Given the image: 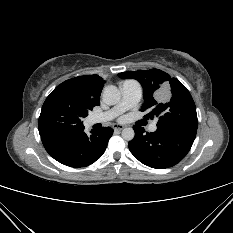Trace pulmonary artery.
I'll list each match as a JSON object with an SVG mask.
<instances>
[{"label":"pulmonary artery","mask_w":233,"mask_h":233,"mask_svg":"<svg viewBox=\"0 0 233 233\" xmlns=\"http://www.w3.org/2000/svg\"><path fill=\"white\" fill-rule=\"evenodd\" d=\"M120 91L122 96L119 103L114 108L105 113L92 115L89 119L91 124L112 120L124 111L136 106L142 97V87L136 81L128 80L122 82L120 84ZM156 129L157 124L156 122H153L150 125L149 130L154 132Z\"/></svg>","instance_id":"pulmonary-artery-1"}]
</instances>
